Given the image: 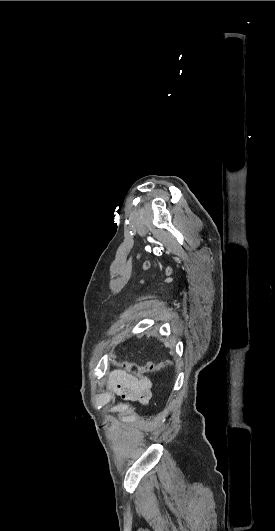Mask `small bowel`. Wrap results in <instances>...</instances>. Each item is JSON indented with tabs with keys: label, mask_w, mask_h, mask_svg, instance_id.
<instances>
[{
	"label": "small bowel",
	"mask_w": 275,
	"mask_h": 531,
	"mask_svg": "<svg viewBox=\"0 0 275 531\" xmlns=\"http://www.w3.org/2000/svg\"><path fill=\"white\" fill-rule=\"evenodd\" d=\"M152 388L151 379L137 377L123 370H113L108 376V389L112 394L143 406L152 398Z\"/></svg>",
	"instance_id": "small-bowel-1"
}]
</instances>
